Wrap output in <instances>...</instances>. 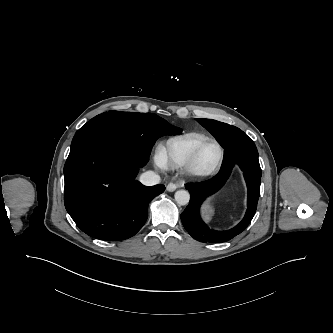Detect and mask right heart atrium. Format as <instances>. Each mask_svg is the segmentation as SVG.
I'll list each match as a JSON object with an SVG mask.
<instances>
[{
	"label": "right heart atrium",
	"instance_id": "1",
	"mask_svg": "<svg viewBox=\"0 0 333 333\" xmlns=\"http://www.w3.org/2000/svg\"><path fill=\"white\" fill-rule=\"evenodd\" d=\"M156 161H157V164L160 165V166H164V164L162 163L161 159L159 156H157L156 158Z\"/></svg>",
	"mask_w": 333,
	"mask_h": 333
}]
</instances>
